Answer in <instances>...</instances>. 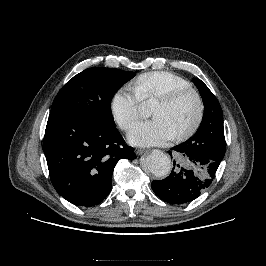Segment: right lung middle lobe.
Segmentation results:
<instances>
[{"mask_svg":"<svg viewBox=\"0 0 266 266\" xmlns=\"http://www.w3.org/2000/svg\"><path fill=\"white\" fill-rule=\"evenodd\" d=\"M134 76V72L119 69H86L69 80L59 91L52 104L51 113L84 117L113 125L112 97Z\"/></svg>","mask_w":266,"mask_h":266,"instance_id":"1","label":"right lung middle lobe"}]
</instances>
